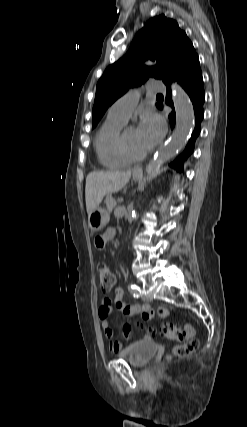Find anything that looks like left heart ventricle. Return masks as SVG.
Wrapping results in <instances>:
<instances>
[{"label":"left heart ventricle","instance_id":"b2bd125f","mask_svg":"<svg viewBox=\"0 0 247 427\" xmlns=\"http://www.w3.org/2000/svg\"><path fill=\"white\" fill-rule=\"evenodd\" d=\"M126 140L129 149L135 154H139L147 150L145 145L142 143L136 128L130 127L127 129Z\"/></svg>","mask_w":247,"mask_h":427}]
</instances>
